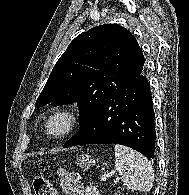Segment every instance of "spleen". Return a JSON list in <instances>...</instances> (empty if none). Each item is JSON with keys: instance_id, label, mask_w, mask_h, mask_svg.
<instances>
[{"instance_id": "obj_1", "label": "spleen", "mask_w": 189, "mask_h": 195, "mask_svg": "<svg viewBox=\"0 0 189 195\" xmlns=\"http://www.w3.org/2000/svg\"><path fill=\"white\" fill-rule=\"evenodd\" d=\"M115 169L132 191L149 192L153 187L154 173L150 161L142 154L122 145H115Z\"/></svg>"}]
</instances>
